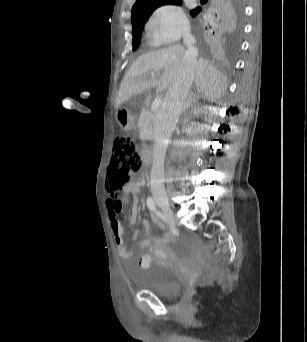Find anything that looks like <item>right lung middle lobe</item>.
Masks as SVG:
<instances>
[{
	"instance_id": "right-lung-middle-lobe-1",
	"label": "right lung middle lobe",
	"mask_w": 307,
	"mask_h": 342,
	"mask_svg": "<svg viewBox=\"0 0 307 342\" xmlns=\"http://www.w3.org/2000/svg\"><path fill=\"white\" fill-rule=\"evenodd\" d=\"M140 38H141V33L133 36V41H132V44H133V50H136L140 44Z\"/></svg>"
}]
</instances>
